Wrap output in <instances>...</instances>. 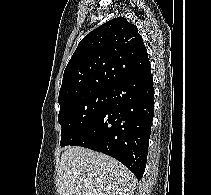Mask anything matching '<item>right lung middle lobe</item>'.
<instances>
[{"label":"right lung middle lobe","instance_id":"dd1d6c3e","mask_svg":"<svg viewBox=\"0 0 211 195\" xmlns=\"http://www.w3.org/2000/svg\"><path fill=\"white\" fill-rule=\"evenodd\" d=\"M110 89H91L60 102L61 147L72 145L98 118L109 102Z\"/></svg>","mask_w":211,"mask_h":195}]
</instances>
